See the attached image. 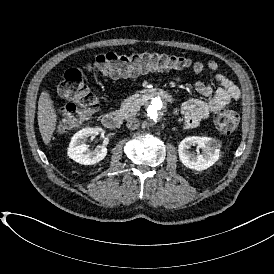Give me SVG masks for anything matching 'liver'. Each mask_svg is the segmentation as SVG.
<instances>
[{
    "mask_svg": "<svg viewBox=\"0 0 274 274\" xmlns=\"http://www.w3.org/2000/svg\"><path fill=\"white\" fill-rule=\"evenodd\" d=\"M58 123V113L50 92L43 89L38 101V126L43 143L48 146Z\"/></svg>",
    "mask_w": 274,
    "mask_h": 274,
    "instance_id": "liver-1",
    "label": "liver"
}]
</instances>
